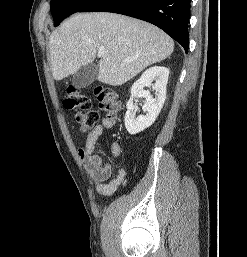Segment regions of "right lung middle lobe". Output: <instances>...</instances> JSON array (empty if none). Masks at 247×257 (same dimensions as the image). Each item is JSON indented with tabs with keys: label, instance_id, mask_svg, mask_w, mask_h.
Here are the masks:
<instances>
[{
	"label": "right lung middle lobe",
	"instance_id": "obj_1",
	"mask_svg": "<svg viewBox=\"0 0 247 257\" xmlns=\"http://www.w3.org/2000/svg\"><path fill=\"white\" fill-rule=\"evenodd\" d=\"M91 0H51V13L54 19V26H58L67 16L78 12Z\"/></svg>",
	"mask_w": 247,
	"mask_h": 257
}]
</instances>
